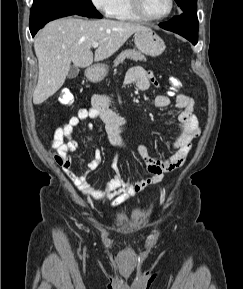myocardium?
<instances>
[{
	"label": "myocardium",
	"mask_w": 243,
	"mask_h": 289,
	"mask_svg": "<svg viewBox=\"0 0 243 289\" xmlns=\"http://www.w3.org/2000/svg\"><path fill=\"white\" fill-rule=\"evenodd\" d=\"M169 9L168 11L160 16H149L143 8L142 0H130V5L134 13L139 16L142 20L146 21H159L163 20L171 15L175 7V0H169Z\"/></svg>",
	"instance_id": "f54148a6"
}]
</instances>
